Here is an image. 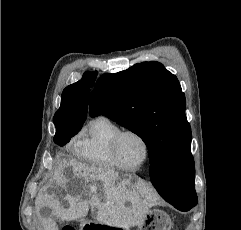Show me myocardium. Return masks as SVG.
<instances>
[{"label": "myocardium", "instance_id": "obj_1", "mask_svg": "<svg viewBox=\"0 0 241 230\" xmlns=\"http://www.w3.org/2000/svg\"><path fill=\"white\" fill-rule=\"evenodd\" d=\"M128 134L136 136L144 145V149H145L144 159L137 166L125 165L119 159L118 149H119L120 142H121L122 138ZM111 154H112V158H113L114 162L116 163L117 167L124 169V170L135 171V170L142 168L147 163V161L150 157V146H149V143L146 140V138L138 131H136L134 129H120L112 139Z\"/></svg>", "mask_w": 241, "mask_h": 230}]
</instances>
